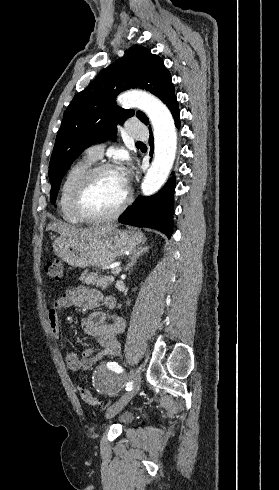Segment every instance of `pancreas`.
I'll return each mask as SVG.
<instances>
[{
	"label": "pancreas",
	"mask_w": 279,
	"mask_h": 490,
	"mask_svg": "<svg viewBox=\"0 0 279 490\" xmlns=\"http://www.w3.org/2000/svg\"><path fill=\"white\" fill-rule=\"evenodd\" d=\"M115 276H118V274H114V276H100L99 272H90L89 274L88 270H84L79 280L82 284H93V286L105 290V288H108L109 284L114 282Z\"/></svg>",
	"instance_id": "cf45deb5"
}]
</instances>
